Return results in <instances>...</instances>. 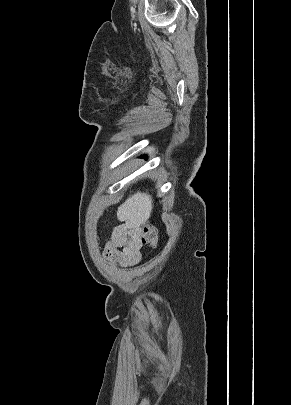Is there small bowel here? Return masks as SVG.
I'll return each mask as SVG.
<instances>
[{
    "instance_id": "obj_1",
    "label": "small bowel",
    "mask_w": 291,
    "mask_h": 405,
    "mask_svg": "<svg viewBox=\"0 0 291 405\" xmlns=\"http://www.w3.org/2000/svg\"><path fill=\"white\" fill-rule=\"evenodd\" d=\"M140 228L128 223L117 226L107 242L104 255L121 266L136 265L141 260Z\"/></svg>"
}]
</instances>
